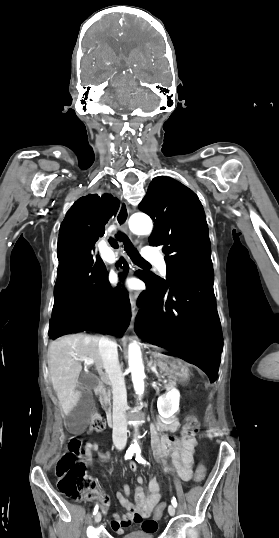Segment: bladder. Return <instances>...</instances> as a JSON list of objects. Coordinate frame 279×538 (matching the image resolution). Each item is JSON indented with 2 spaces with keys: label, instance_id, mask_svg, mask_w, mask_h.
<instances>
[{
  "label": "bladder",
  "instance_id": "1",
  "mask_svg": "<svg viewBox=\"0 0 279 538\" xmlns=\"http://www.w3.org/2000/svg\"><path fill=\"white\" fill-rule=\"evenodd\" d=\"M124 538H155L154 532H125Z\"/></svg>",
  "mask_w": 279,
  "mask_h": 538
}]
</instances>
